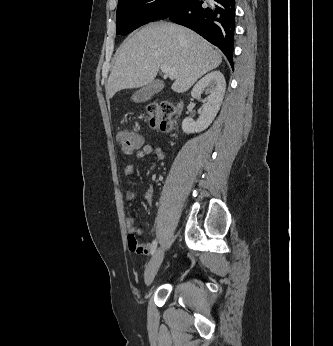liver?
Here are the masks:
<instances>
[{
    "label": "liver",
    "instance_id": "6515ba94",
    "mask_svg": "<svg viewBox=\"0 0 333 346\" xmlns=\"http://www.w3.org/2000/svg\"><path fill=\"white\" fill-rule=\"evenodd\" d=\"M221 62V53L192 30L171 23H151L119 47L106 95L110 99L120 90L148 85L161 65L176 71L171 89L183 93Z\"/></svg>",
    "mask_w": 333,
    "mask_h": 346
}]
</instances>
